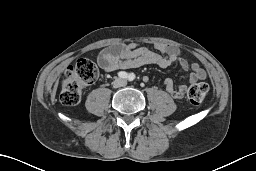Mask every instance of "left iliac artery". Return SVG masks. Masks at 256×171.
<instances>
[{
	"label": "left iliac artery",
	"instance_id": "1",
	"mask_svg": "<svg viewBox=\"0 0 256 171\" xmlns=\"http://www.w3.org/2000/svg\"><path fill=\"white\" fill-rule=\"evenodd\" d=\"M128 79L130 81H133L135 79V74L134 73H130L129 76H128Z\"/></svg>",
	"mask_w": 256,
	"mask_h": 171
}]
</instances>
